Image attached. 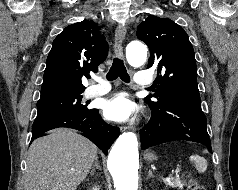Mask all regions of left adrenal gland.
I'll return each instance as SVG.
<instances>
[{"mask_svg": "<svg viewBox=\"0 0 238 190\" xmlns=\"http://www.w3.org/2000/svg\"><path fill=\"white\" fill-rule=\"evenodd\" d=\"M150 177H154L151 170H149V172H148V178H150ZM148 178H147V179H148Z\"/></svg>", "mask_w": 238, "mask_h": 190, "instance_id": "obj_1", "label": "left adrenal gland"}]
</instances>
